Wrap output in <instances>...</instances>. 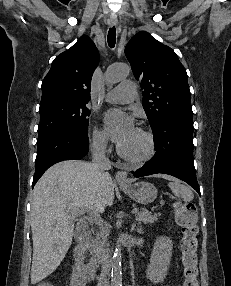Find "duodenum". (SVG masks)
<instances>
[{"mask_svg": "<svg viewBox=\"0 0 231 286\" xmlns=\"http://www.w3.org/2000/svg\"><path fill=\"white\" fill-rule=\"evenodd\" d=\"M89 243H90L89 234L84 233L83 235H81L79 242L75 246L74 251H73L74 260L87 280L102 281L105 278V274L103 272L101 273L97 272L92 266L87 264L85 260V254L89 247Z\"/></svg>", "mask_w": 231, "mask_h": 286, "instance_id": "1", "label": "duodenum"}]
</instances>
